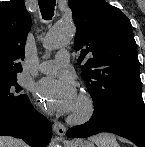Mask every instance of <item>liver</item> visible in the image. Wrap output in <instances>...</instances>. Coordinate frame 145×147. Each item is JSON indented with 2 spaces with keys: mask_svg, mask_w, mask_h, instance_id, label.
Returning a JSON list of instances; mask_svg holds the SVG:
<instances>
[{
  "mask_svg": "<svg viewBox=\"0 0 145 147\" xmlns=\"http://www.w3.org/2000/svg\"><path fill=\"white\" fill-rule=\"evenodd\" d=\"M0 147H27V145L22 140L0 136Z\"/></svg>",
  "mask_w": 145,
  "mask_h": 147,
  "instance_id": "1",
  "label": "liver"
}]
</instances>
